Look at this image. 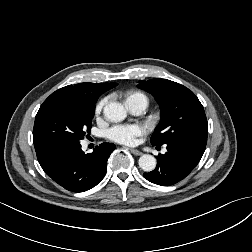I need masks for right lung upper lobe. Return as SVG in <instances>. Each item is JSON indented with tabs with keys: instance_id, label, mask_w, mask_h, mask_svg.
<instances>
[{
	"instance_id": "obj_1",
	"label": "right lung upper lobe",
	"mask_w": 252,
	"mask_h": 252,
	"mask_svg": "<svg viewBox=\"0 0 252 252\" xmlns=\"http://www.w3.org/2000/svg\"><path fill=\"white\" fill-rule=\"evenodd\" d=\"M117 86V83H79L68 85L52 93V97H67L96 103L101 94Z\"/></svg>"
}]
</instances>
